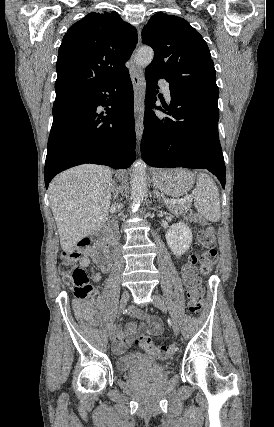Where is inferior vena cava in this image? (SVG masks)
Wrapping results in <instances>:
<instances>
[{
    "label": "inferior vena cava",
    "mask_w": 274,
    "mask_h": 427,
    "mask_svg": "<svg viewBox=\"0 0 274 427\" xmlns=\"http://www.w3.org/2000/svg\"><path fill=\"white\" fill-rule=\"evenodd\" d=\"M112 208H115L116 212H118L119 208H120V204H113Z\"/></svg>",
    "instance_id": "obj_1"
}]
</instances>
